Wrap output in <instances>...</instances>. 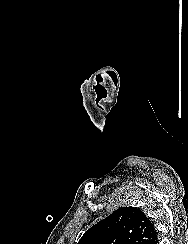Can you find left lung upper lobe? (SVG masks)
Here are the masks:
<instances>
[{"mask_svg":"<svg viewBox=\"0 0 188 244\" xmlns=\"http://www.w3.org/2000/svg\"><path fill=\"white\" fill-rule=\"evenodd\" d=\"M157 231L138 208H119L88 229L78 244H152Z\"/></svg>","mask_w":188,"mask_h":244,"instance_id":"left-lung-upper-lobe-1","label":"left lung upper lobe"}]
</instances>
